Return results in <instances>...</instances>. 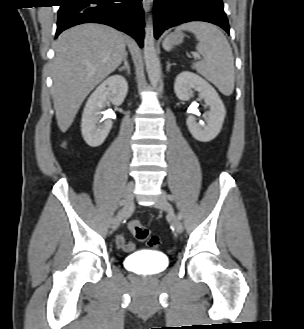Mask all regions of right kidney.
Returning a JSON list of instances; mask_svg holds the SVG:
<instances>
[{
  "mask_svg": "<svg viewBox=\"0 0 304 329\" xmlns=\"http://www.w3.org/2000/svg\"><path fill=\"white\" fill-rule=\"evenodd\" d=\"M127 92V81L120 75H113L103 81L88 98L82 114L81 131L89 146H100L112 128L111 120L97 126L103 106L108 102L116 106L121 105Z\"/></svg>",
  "mask_w": 304,
  "mask_h": 329,
  "instance_id": "ca27d5eb",
  "label": "right kidney"
}]
</instances>
